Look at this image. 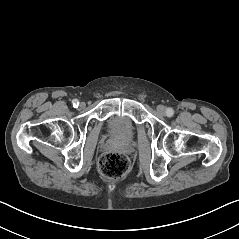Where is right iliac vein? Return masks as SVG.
I'll list each match as a JSON object with an SVG mask.
<instances>
[{
  "label": "right iliac vein",
  "mask_w": 239,
  "mask_h": 239,
  "mask_svg": "<svg viewBox=\"0 0 239 239\" xmlns=\"http://www.w3.org/2000/svg\"><path fill=\"white\" fill-rule=\"evenodd\" d=\"M84 107H85V103H83V102L80 103L79 108H80V109H83Z\"/></svg>",
  "instance_id": "obj_1"
}]
</instances>
